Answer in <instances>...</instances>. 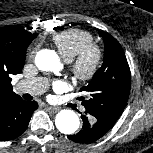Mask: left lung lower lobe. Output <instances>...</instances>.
<instances>
[{
	"label": "left lung lower lobe",
	"mask_w": 153,
	"mask_h": 153,
	"mask_svg": "<svg viewBox=\"0 0 153 153\" xmlns=\"http://www.w3.org/2000/svg\"><path fill=\"white\" fill-rule=\"evenodd\" d=\"M83 119L82 129L74 135H68V138L77 143H91L103 137L109 130L101 121L94 119L85 113L81 116Z\"/></svg>",
	"instance_id": "1"
}]
</instances>
